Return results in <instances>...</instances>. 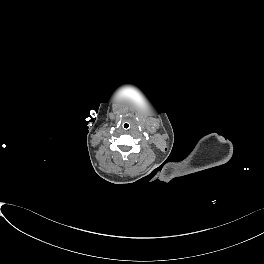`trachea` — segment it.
I'll return each mask as SVG.
<instances>
[{"label":"trachea","mask_w":264,"mask_h":264,"mask_svg":"<svg viewBox=\"0 0 264 264\" xmlns=\"http://www.w3.org/2000/svg\"><path fill=\"white\" fill-rule=\"evenodd\" d=\"M130 127H131V124L129 122H127V121L122 124V128L124 130H129Z\"/></svg>","instance_id":"1"}]
</instances>
